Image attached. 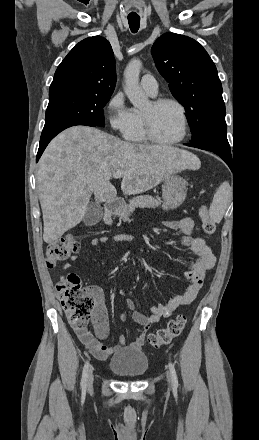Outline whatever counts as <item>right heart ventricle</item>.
<instances>
[{
  "label": "right heart ventricle",
  "instance_id": "obj_1",
  "mask_svg": "<svg viewBox=\"0 0 259 440\" xmlns=\"http://www.w3.org/2000/svg\"><path fill=\"white\" fill-rule=\"evenodd\" d=\"M133 122L125 138L134 143H144L148 140L143 126L142 113L137 109H132Z\"/></svg>",
  "mask_w": 259,
  "mask_h": 440
}]
</instances>
